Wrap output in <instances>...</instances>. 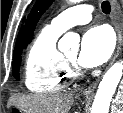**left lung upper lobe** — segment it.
I'll return each instance as SVG.
<instances>
[{"label":"left lung upper lobe","mask_w":123,"mask_h":113,"mask_svg":"<svg viewBox=\"0 0 123 113\" xmlns=\"http://www.w3.org/2000/svg\"><path fill=\"white\" fill-rule=\"evenodd\" d=\"M54 0H37L26 21V44L30 43L33 31L43 13L49 8Z\"/></svg>","instance_id":"5c2ea615"}]
</instances>
